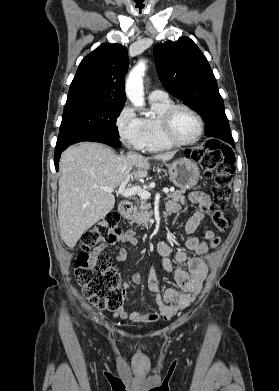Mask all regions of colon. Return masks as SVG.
I'll return each mask as SVG.
<instances>
[{
    "mask_svg": "<svg viewBox=\"0 0 279 391\" xmlns=\"http://www.w3.org/2000/svg\"><path fill=\"white\" fill-rule=\"evenodd\" d=\"M192 160L202 169L207 178H214L211 193L214 207L211 208V219L216 229L225 233L229 220L224 215L233 180L235 157L232 150L218 141L210 140L204 147L195 149L190 154ZM118 212L111 211L99 222L88 229L81 237L80 251L77 254L74 269L83 296L95 307L104 310H118L124 301L125 292L121 285L120 275L112 266L107 254L92 256L91 248L98 244H112L121 234ZM221 239L215 236L210 246L216 248Z\"/></svg>",
    "mask_w": 279,
    "mask_h": 391,
    "instance_id": "5ec220e1",
    "label": "colon"
}]
</instances>
